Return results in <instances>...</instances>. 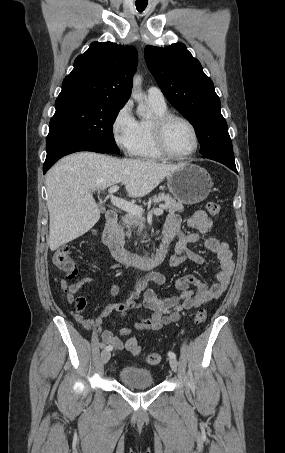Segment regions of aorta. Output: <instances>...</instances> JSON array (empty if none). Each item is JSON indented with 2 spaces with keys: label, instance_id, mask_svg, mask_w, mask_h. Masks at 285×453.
I'll list each match as a JSON object with an SVG mask.
<instances>
[{
  "label": "aorta",
  "instance_id": "762f6f07",
  "mask_svg": "<svg viewBox=\"0 0 285 453\" xmlns=\"http://www.w3.org/2000/svg\"><path fill=\"white\" fill-rule=\"evenodd\" d=\"M141 82H142L141 76L139 75L134 76L132 97L134 98L135 101L138 102L137 112L140 115H144L147 109L144 103V96L141 92Z\"/></svg>",
  "mask_w": 285,
  "mask_h": 453
}]
</instances>
